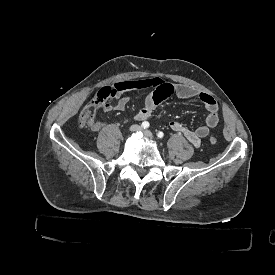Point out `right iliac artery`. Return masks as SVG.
I'll list each match as a JSON object with an SVG mask.
<instances>
[{"mask_svg":"<svg viewBox=\"0 0 275 275\" xmlns=\"http://www.w3.org/2000/svg\"><path fill=\"white\" fill-rule=\"evenodd\" d=\"M141 126L145 129L149 127V122L148 121H144L142 122Z\"/></svg>","mask_w":275,"mask_h":275,"instance_id":"obj_1","label":"right iliac artery"}]
</instances>
